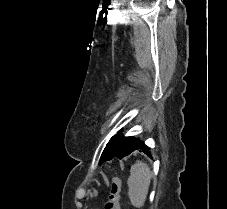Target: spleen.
Listing matches in <instances>:
<instances>
[{"mask_svg": "<svg viewBox=\"0 0 227 209\" xmlns=\"http://www.w3.org/2000/svg\"><path fill=\"white\" fill-rule=\"evenodd\" d=\"M151 171L142 161H136L130 169V177L127 181L129 187L128 197L131 205L136 209H142L147 199L148 189L151 183Z\"/></svg>", "mask_w": 227, "mask_h": 209, "instance_id": "spleen-1", "label": "spleen"}]
</instances>
